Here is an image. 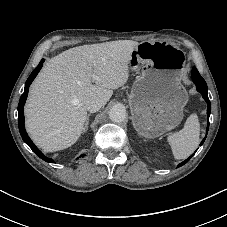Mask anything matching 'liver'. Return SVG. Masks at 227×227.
I'll list each match as a JSON object with an SVG mask.
<instances>
[{"instance_id":"1","label":"liver","mask_w":227,"mask_h":227,"mask_svg":"<svg viewBox=\"0 0 227 227\" xmlns=\"http://www.w3.org/2000/svg\"><path fill=\"white\" fill-rule=\"evenodd\" d=\"M138 45L132 40L83 45L51 58L33 82L24 109L35 144L46 152L73 145L84 131L86 101L100 98L105 105L127 82Z\"/></svg>"}]
</instances>
